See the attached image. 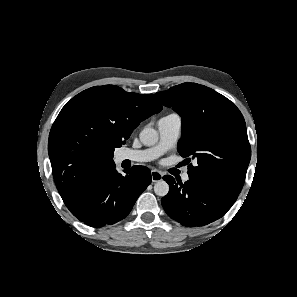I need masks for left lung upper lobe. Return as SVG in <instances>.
<instances>
[{
	"label": "left lung upper lobe",
	"mask_w": 297,
	"mask_h": 297,
	"mask_svg": "<svg viewBox=\"0 0 297 297\" xmlns=\"http://www.w3.org/2000/svg\"><path fill=\"white\" fill-rule=\"evenodd\" d=\"M156 97L182 118L177 150L197 161L189 178L235 203L251 158L244 118L233 102L206 86L183 83ZM191 158V159H190Z\"/></svg>",
	"instance_id": "left-lung-upper-lobe-1"
}]
</instances>
